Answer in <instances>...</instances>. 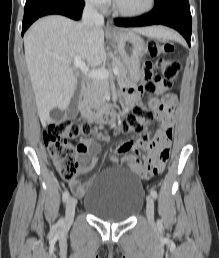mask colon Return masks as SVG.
<instances>
[{
  "label": "colon",
  "mask_w": 219,
  "mask_h": 258,
  "mask_svg": "<svg viewBox=\"0 0 219 258\" xmlns=\"http://www.w3.org/2000/svg\"><path fill=\"white\" fill-rule=\"evenodd\" d=\"M147 51L158 59L160 75L145 83L144 90L149 95L162 96L172 88L180 70V62L172 56L173 46L155 40L147 42ZM154 119V113L145 105H136L124 122L114 127L115 133H135L141 138L147 135L144 126ZM96 132L90 123H78L68 118L52 120L44 131V143L60 176L65 180L75 178L78 170V157L81 146L78 139L86 138Z\"/></svg>",
  "instance_id": "obj_1"
}]
</instances>
